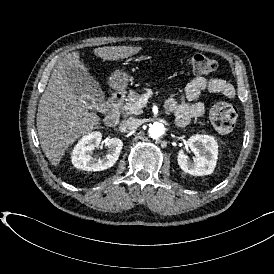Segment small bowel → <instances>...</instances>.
<instances>
[{
  "label": "small bowel",
  "mask_w": 274,
  "mask_h": 274,
  "mask_svg": "<svg viewBox=\"0 0 274 274\" xmlns=\"http://www.w3.org/2000/svg\"><path fill=\"white\" fill-rule=\"evenodd\" d=\"M204 91L217 93L228 99H232L236 95L235 87L226 80L205 77L193 78L185 87V96L190 102L189 104L178 102L172 97L166 100V109L174 114L177 125L185 126L191 120L204 115L205 105L197 101Z\"/></svg>",
  "instance_id": "obj_1"
}]
</instances>
